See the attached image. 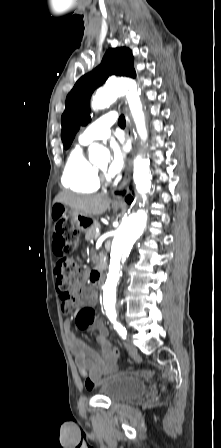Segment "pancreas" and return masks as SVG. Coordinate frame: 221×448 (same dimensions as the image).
Returning <instances> with one entry per match:
<instances>
[{
    "mask_svg": "<svg viewBox=\"0 0 221 448\" xmlns=\"http://www.w3.org/2000/svg\"><path fill=\"white\" fill-rule=\"evenodd\" d=\"M95 226H96V223H94L93 226L90 227V228L86 231V234H85V239H86V240H88V241H92V240L96 239V238H95L96 232H95V229H94Z\"/></svg>",
    "mask_w": 221,
    "mask_h": 448,
    "instance_id": "obj_1",
    "label": "pancreas"
}]
</instances>
